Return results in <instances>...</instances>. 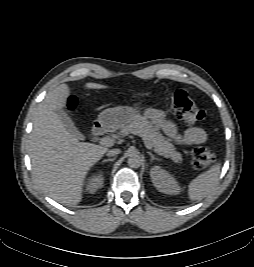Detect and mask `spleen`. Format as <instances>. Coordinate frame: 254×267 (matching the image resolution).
<instances>
[{
    "instance_id": "spleen-1",
    "label": "spleen",
    "mask_w": 254,
    "mask_h": 267,
    "mask_svg": "<svg viewBox=\"0 0 254 267\" xmlns=\"http://www.w3.org/2000/svg\"><path fill=\"white\" fill-rule=\"evenodd\" d=\"M219 173L220 164H216L193 179L188 185L189 199L197 201L209 195L218 182Z\"/></svg>"
}]
</instances>
